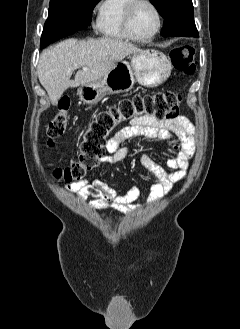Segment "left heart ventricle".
Segmentation results:
<instances>
[{
	"instance_id": "b2bd125f",
	"label": "left heart ventricle",
	"mask_w": 240,
	"mask_h": 329,
	"mask_svg": "<svg viewBox=\"0 0 240 329\" xmlns=\"http://www.w3.org/2000/svg\"><path fill=\"white\" fill-rule=\"evenodd\" d=\"M156 25L157 19L150 6L140 4L135 7L131 18V28L135 35L149 36L155 30Z\"/></svg>"
}]
</instances>
